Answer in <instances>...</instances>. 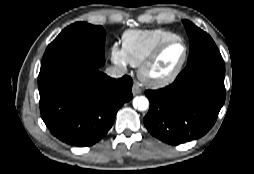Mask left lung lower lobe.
<instances>
[{
    "instance_id": "1",
    "label": "left lung lower lobe",
    "mask_w": 254,
    "mask_h": 174,
    "mask_svg": "<svg viewBox=\"0 0 254 174\" xmlns=\"http://www.w3.org/2000/svg\"><path fill=\"white\" fill-rule=\"evenodd\" d=\"M225 70L202 68L180 73L169 86L147 90L150 108L143 122L148 131L170 145L204 136L225 101Z\"/></svg>"
}]
</instances>
